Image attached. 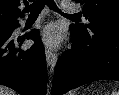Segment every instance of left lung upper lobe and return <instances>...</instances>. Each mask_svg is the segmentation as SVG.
Here are the masks:
<instances>
[{
	"instance_id": "1",
	"label": "left lung upper lobe",
	"mask_w": 119,
	"mask_h": 95,
	"mask_svg": "<svg viewBox=\"0 0 119 95\" xmlns=\"http://www.w3.org/2000/svg\"><path fill=\"white\" fill-rule=\"evenodd\" d=\"M82 5L83 16L89 24H72L77 31L103 29L119 31V0H75Z\"/></svg>"
}]
</instances>
